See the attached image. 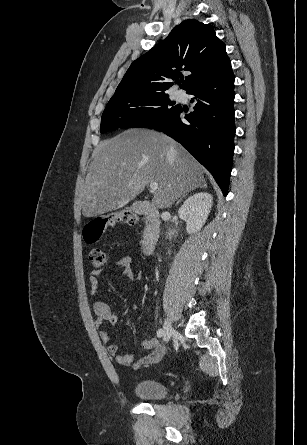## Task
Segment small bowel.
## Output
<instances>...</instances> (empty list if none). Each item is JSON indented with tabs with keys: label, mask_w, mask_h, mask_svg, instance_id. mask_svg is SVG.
<instances>
[{
	"label": "small bowel",
	"mask_w": 307,
	"mask_h": 445,
	"mask_svg": "<svg viewBox=\"0 0 307 445\" xmlns=\"http://www.w3.org/2000/svg\"><path fill=\"white\" fill-rule=\"evenodd\" d=\"M115 265L121 269V274L129 280H133L135 275L132 268V259L130 256H122L115 261ZM101 269H94L89 274V282L91 288V294L94 298L98 296L99 288V276L101 275ZM93 312L96 316L95 325L100 329L101 339L107 343V351L110 355L115 357L118 364L122 366H134L139 368L142 366H148L157 363L163 356V349L159 344V341L155 338L147 339L143 343V347L150 352L141 358L135 364L134 356L131 353L121 354L119 353V347L115 343H109V335L104 330L101 329L104 323L116 324L119 320L118 315L114 310L105 302L100 300H95L93 303Z\"/></svg>",
	"instance_id": "c3829d8e"
}]
</instances>
